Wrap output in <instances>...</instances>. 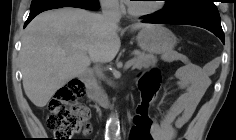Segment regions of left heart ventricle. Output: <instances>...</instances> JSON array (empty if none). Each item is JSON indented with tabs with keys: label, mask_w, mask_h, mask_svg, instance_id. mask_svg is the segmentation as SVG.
Here are the masks:
<instances>
[{
	"label": "left heart ventricle",
	"mask_w": 236,
	"mask_h": 140,
	"mask_svg": "<svg viewBox=\"0 0 236 140\" xmlns=\"http://www.w3.org/2000/svg\"><path fill=\"white\" fill-rule=\"evenodd\" d=\"M155 2L156 1L152 0H142V1H134L131 4L135 9H149L156 5Z\"/></svg>",
	"instance_id": "b2bd125f"
}]
</instances>
